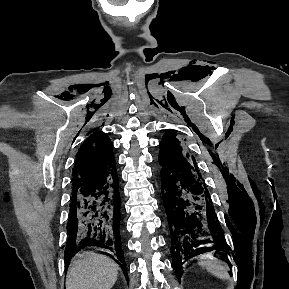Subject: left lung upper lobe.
Returning <instances> with one entry per match:
<instances>
[{
	"instance_id": "1",
	"label": "left lung upper lobe",
	"mask_w": 289,
	"mask_h": 289,
	"mask_svg": "<svg viewBox=\"0 0 289 289\" xmlns=\"http://www.w3.org/2000/svg\"><path fill=\"white\" fill-rule=\"evenodd\" d=\"M160 151H166L173 155L180 156L188 160L198 171L196 166V161L193 156H190L184 148L180 145L179 140L176 138V133L174 131H167L162 138L160 143ZM199 172V171H198Z\"/></svg>"
}]
</instances>
